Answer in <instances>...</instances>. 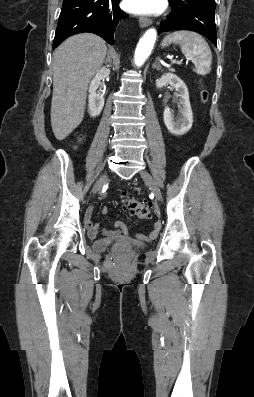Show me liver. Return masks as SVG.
<instances>
[{"mask_svg":"<svg viewBox=\"0 0 254 397\" xmlns=\"http://www.w3.org/2000/svg\"><path fill=\"white\" fill-rule=\"evenodd\" d=\"M106 51L105 41L91 33L74 35L54 51L51 126L57 140L82 122L88 84L103 65Z\"/></svg>","mask_w":254,"mask_h":397,"instance_id":"obj_1","label":"liver"}]
</instances>
